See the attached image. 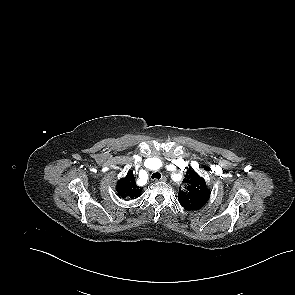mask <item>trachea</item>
<instances>
[{"label": "trachea", "instance_id": "1", "mask_svg": "<svg viewBox=\"0 0 295 295\" xmlns=\"http://www.w3.org/2000/svg\"><path fill=\"white\" fill-rule=\"evenodd\" d=\"M160 178H161V174L159 172L152 174V179H160Z\"/></svg>", "mask_w": 295, "mask_h": 295}]
</instances>
